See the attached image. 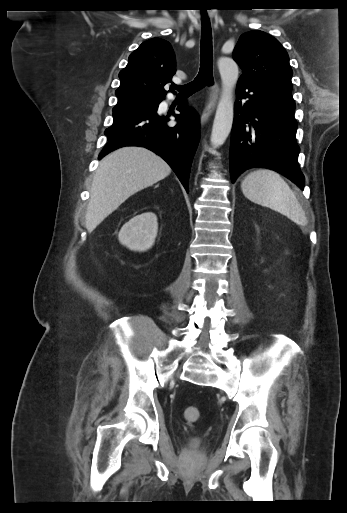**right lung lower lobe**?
Returning <instances> with one entry per match:
<instances>
[{
    "instance_id": "1",
    "label": "right lung lower lobe",
    "mask_w": 347,
    "mask_h": 513,
    "mask_svg": "<svg viewBox=\"0 0 347 513\" xmlns=\"http://www.w3.org/2000/svg\"><path fill=\"white\" fill-rule=\"evenodd\" d=\"M158 105L113 116V125L105 130L108 143L98 159L123 146L145 147L170 165L188 191L191 164L200 139L199 117L181 103L178 107L181 113L175 116L178 124L169 126V118L157 114Z\"/></svg>"
}]
</instances>
